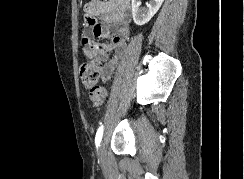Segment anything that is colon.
Returning <instances> with one entry per match:
<instances>
[{"mask_svg":"<svg viewBox=\"0 0 244 179\" xmlns=\"http://www.w3.org/2000/svg\"><path fill=\"white\" fill-rule=\"evenodd\" d=\"M100 32V29H97ZM99 65L92 61H83L80 65V79L82 85L88 91V100L92 107H101L107 101V91L104 87L98 86Z\"/></svg>","mask_w":244,"mask_h":179,"instance_id":"colon-1","label":"colon"}]
</instances>
